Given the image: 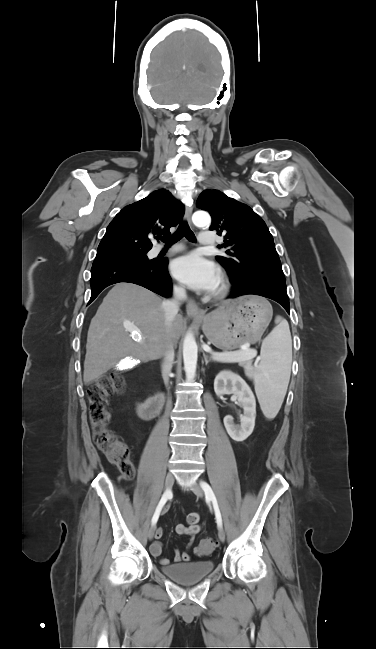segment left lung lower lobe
Returning a JSON list of instances; mask_svg holds the SVG:
<instances>
[{"mask_svg":"<svg viewBox=\"0 0 376 649\" xmlns=\"http://www.w3.org/2000/svg\"><path fill=\"white\" fill-rule=\"evenodd\" d=\"M243 295H259L272 299L281 304L290 314L286 284H281L270 277L251 274L245 281L236 284L235 291L228 298H237Z\"/></svg>","mask_w":376,"mask_h":649,"instance_id":"left-lung-lower-lobe-1","label":"left lung lower lobe"}]
</instances>
